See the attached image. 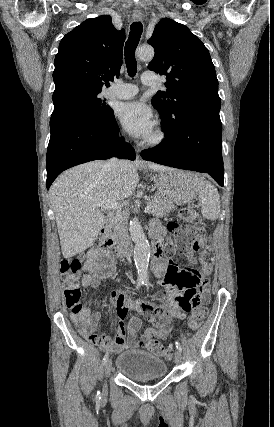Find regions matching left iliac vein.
<instances>
[{
  "label": "left iliac vein",
  "instance_id": "4c4485c4",
  "mask_svg": "<svg viewBox=\"0 0 274 427\" xmlns=\"http://www.w3.org/2000/svg\"><path fill=\"white\" fill-rule=\"evenodd\" d=\"M181 362H182V355H181V352L179 350H177L175 352V364L180 365Z\"/></svg>",
  "mask_w": 274,
  "mask_h": 427
}]
</instances>
